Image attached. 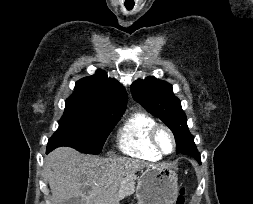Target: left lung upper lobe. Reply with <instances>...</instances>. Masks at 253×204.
Instances as JSON below:
<instances>
[{"instance_id": "1", "label": "left lung upper lobe", "mask_w": 253, "mask_h": 204, "mask_svg": "<svg viewBox=\"0 0 253 204\" xmlns=\"http://www.w3.org/2000/svg\"><path fill=\"white\" fill-rule=\"evenodd\" d=\"M131 91L135 101L160 118L172 130L177 154L186 155L196 148L181 103L172 92V85L154 77H147L135 81L131 85Z\"/></svg>"}]
</instances>
